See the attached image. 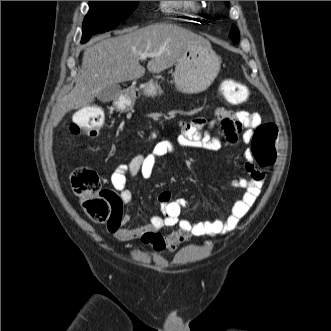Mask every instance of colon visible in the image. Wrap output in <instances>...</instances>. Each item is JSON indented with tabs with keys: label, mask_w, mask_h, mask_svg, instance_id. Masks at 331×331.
<instances>
[{
	"label": "colon",
	"mask_w": 331,
	"mask_h": 331,
	"mask_svg": "<svg viewBox=\"0 0 331 331\" xmlns=\"http://www.w3.org/2000/svg\"><path fill=\"white\" fill-rule=\"evenodd\" d=\"M220 93L232 105L241 104L249 97L244 84L230 79L221 83ZM104 121V112L100 107L87 106L76 113L70 131L75 136L92 137L101 130ZM278 141L279 129L274 122H264L256 127L251 139V151L260 166L267 167L274 163ZM71 185L85 213L96 222H110L122 204L118 194L101 187L98 174L88 167L74 170Z\"/></svg>",
	"instance_id": "1"
}]
</instances>
